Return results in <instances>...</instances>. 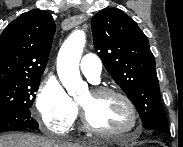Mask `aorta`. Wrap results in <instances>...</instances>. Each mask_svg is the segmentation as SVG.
<instances>
[{
	"label": "aorta",
	"mask_w": 183,
	"mask_h": 147,
	"mask_svg": "<svg viewBox=\"0 0 183 147\" xmlns=\"http://www.w3.org/2000/svg\"><path fill=\"white\" fill-rule=\"evenodd\" d=\"M86 42L82 30L74 31L63 43L57 57V73L68 94L77 98L87 89L80 76L79 62Z\"/></svg>",
	"instance_id": "762f6f07"
}]
</instances>
